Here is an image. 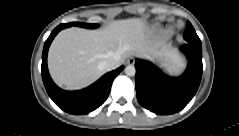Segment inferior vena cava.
<instances>
[{
    "label": "inferior vena cava",
    "instance_id": "obj_1",
    "mask_svg": "<svg viewBox=\"0 0 239 136\" xmlns=\"http://www.w3.org/2000/svg\"><path fill=\"white\" fill-rule=\"evenodd\" d=\"M120 65L121 59L119 57L110 58L103 63V67L107 71L114 70L118 68Z\"/></svg>",
    "mask_w": 239,
    "mask_h": 136
}]
</instances>
